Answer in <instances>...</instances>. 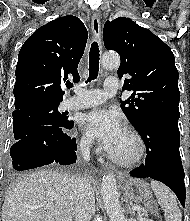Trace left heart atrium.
<instances>
[{"mask_svg":"<svg viewBox=\"0 0 190 221\" xmlns=\"http://www.w3.org/2000/svg\"><path fill=\"white\" fill-rule=\"evenodd\" d=\"M81 124L84 130L97 138L106 149L116 142L124 130L119 115L115 111L102 108L86 113Z\"/></svg>","mask_w":190,"mask_h":221,"instance_id":"39dd6f15","label":"left heart atrium"}]
</instances>
